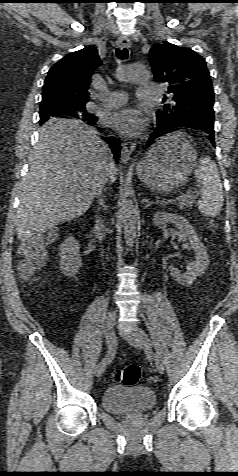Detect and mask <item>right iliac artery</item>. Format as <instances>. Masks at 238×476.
Listing matches in <instances>:
<instances>
[{
  "label": "right iliac artery",
  "mask_w": 238,
  "mask_h": 476,
  "mask_svg": "<svg viewBox=\"0 0 238 476\" xmlns=\"http://www.w3.org/2000/svg\"><path fill=\"white\" fill-rule=\"evenodd\" d=\"M107 334L108 336L106 338L107 339L106 342L108 344V351L103 360L105 361V363H110L115 356L118 340L115 338V336H113L111 330L108 329Z\"/></svg>",
  "instance_id": "82829eb1"
}]
</instances>
